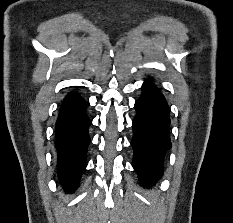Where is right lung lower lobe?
Segmentation results:
<instances>
[{
  "label": "right lung lower lobe",
  "instance_id": "98d812e1",
  "mask_svg": "<svg viewBox=\"0 0 233 223\" xmlns=\"http://www.w3.org/2000/svg\"><path fill=\"white\" fill-rule=\"evenodd\" d=\"M89 103L76 92L69 93L59 111L55 126L59 180L67 192H73L86 167L91 124L85 109Z\"/></svg>",
  "mask_w": 233,
  "mask_h": 223
}]
</instances>
